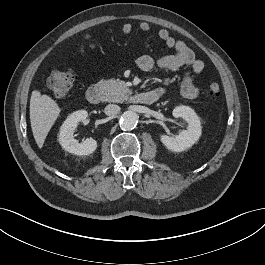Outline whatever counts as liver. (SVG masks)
I'll list each match as a JSON object with an SVG mask.
<instances>
[{"instance_id":"6515ba94","label":"liver","mask_w":265,"mask_h":265,"mask_svg":"<svg viewBox=\"0 0 265 265\" xmlns=\"http://www.w3.org/2000/svg\"><path fill=\"white\" fill-rule=\"evenodd\" d=\"M58 104L48 95L32 91L30 98V122L34 139L39 148L43 147L45 139L60 114Z\"/></svg>"}]
</instances>
